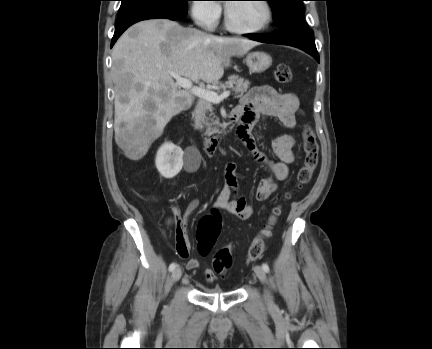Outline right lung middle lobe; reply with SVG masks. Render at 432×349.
I'll return each mask as SVG.
<instances>
[{
  "mask_svg": "<svg viewBox=\"0 0 432 349\" xmlns=\"http://www.w3.org/2000/svg\"><path fill=\"white\" fill-rule=\"evenodd\" d=\"M118 17L143 9H157L178 18H183L188 12L189 0H120Z\"/></svg>",
  "mask_w": 432,
  "mask_h": 349,
  "instance_id": "obj_1",
  "label": "right lung middle lobe"
}]
</instances>
